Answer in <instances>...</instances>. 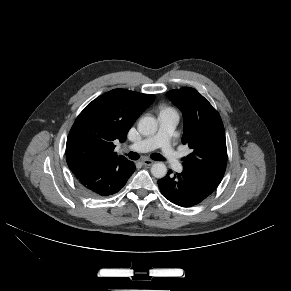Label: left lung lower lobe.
<instances>
[{"label": "left lung lower lobe", "instance_id": "0a47b994", "mask_svg": "<svg viewBox=\"0 0 291 291\" xmlns=\"http://www.w3.org/2000/svg\"><path fill=\"white\" fill-rule=\"evenodd\" d=\"M171 173L169 170L164 178L158 180V186L166 199L182 207L199 204L221 182L189 168H183L182 173Z\"/></svg>", "mask_w": 291, "mask_h": 291}]
</instances>
